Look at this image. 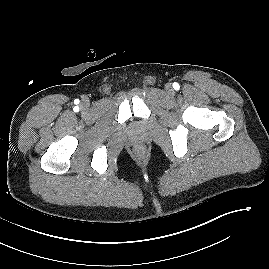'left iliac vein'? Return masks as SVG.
Here are the masks:
<instances>
[{"label":"left iliac vein","instance_id":"left-iliac-vein-1","mask_svg":"<svg viewBox=\"0 0 269 269\" xmlns=\"http://www.w3.org/2000/svg\"><path fill=\"white\" fill-rule=\"evenodd\" d=\"M165 89H166V91L169 92V93L173 92L172 86H171L170 84H167V85L165 86Z\"/></svg>","mask_w":269,"mask_h":269}]
</instances>
